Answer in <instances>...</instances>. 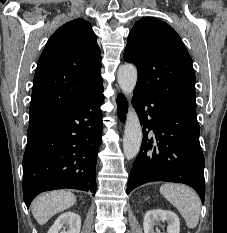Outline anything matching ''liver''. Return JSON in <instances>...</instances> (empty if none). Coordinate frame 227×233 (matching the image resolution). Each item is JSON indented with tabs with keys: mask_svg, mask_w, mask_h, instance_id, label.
Wrapping results in <instances>:
<instances>
[{
	"mask_svg": "<svg viewBox=\"0 0 227 233\" xmlns=\"http://www.w3.org/2000/svg\"><path fill=\"white\" fill-rule=\"evenodd\" d=\"M76 196L65 190L44 193L34 199L31 210L40 225H44L52 216L72 207Z\"/></svg>",
	"mask_w": 227,
	"mask_h": 233,
	"instance_id": "obj_1",
	"label": "liver"
}]
</instances>
